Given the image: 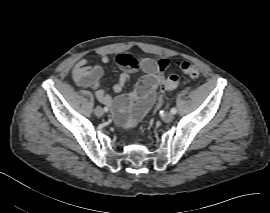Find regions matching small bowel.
Listing matches in <instances>:
<instances>
[{
	"mask_svg": "<svg viewBox=\"0 0 270 213\" xmlns=\"http://www.w3.org/2000/svg\"><path fill=\"white\" fill-rule=\"evenodd\" d=\"M129 58V56L124 54L117 57V64L124 73L113 86V91L118 94L115 98L101 84L100 80L104 73V69L101 66H89L87 60L83 58L72 69V76L76 83L83 87L91 88L102 104L113 108L116 123L124 128L135 125L155 103L158 98L157 89L162 82V73L170 65L169 60L166 59L160 61L150 58L141 59L139 66L145 75L138 82L133 94L131 96H125L122 93L129 81V74L135 72L137 68L135 61L134 65L131 66L129 64ZM110 61L111 58L107 53L100 54V62L103 65L109 64ZM128 105H132L133 114L131 118L122 115L120 112L122 107Z\"/></svg>",
	"mask_w": 270,
	"mask_h": 213,
	"instance_id": "c3829d8e",
	"label": "small bowel"
}]
</instances>
